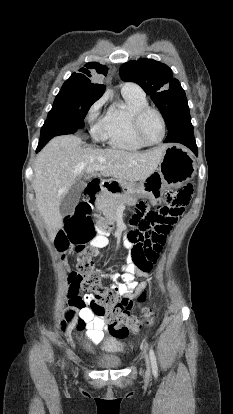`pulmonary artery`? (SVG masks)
Returning <instances> with one entry per match:
<instances>
[{
	"label": "pulmonary artery",
	"instance_id": "1",
	"mask_svg": "<svg viewBox=\"0 0 233 414\" xmlns=\"http://www.w3.org/2000/svg\"><path fill=\"white\" fill-rule=\"evenodd\" d=\"M122 89L131 90V91H135V92H143L142 89L138 85H136L134 83H130V82L122 84Z\"/></svg>",
	"mask_w": 233,
	"mask_h": 414
}]
</instances>
